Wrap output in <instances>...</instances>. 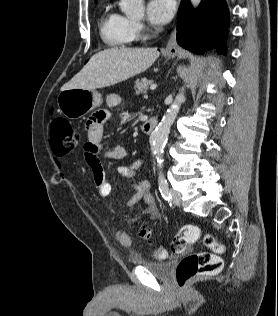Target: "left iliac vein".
Wrapping results in <instances>:
<instances>
[{"label": "left iliac vein", "instance_id": "4c4485c4", "mask_svg": "<svg viewBox=\"0 0 278 316\" xmlns=\"http://www.w3.org/2000/svg\"><path fill=\"white\" fill-rule=\"evenodd\" d=\"M172 200L175 205H180L181 203V193L175 189H171Z\"/></svg>", "mask_w": 278, "mask_h": 316}]
</instances>
